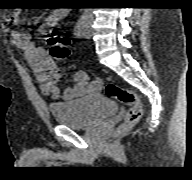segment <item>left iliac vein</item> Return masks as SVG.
<instances>
[{
	"label": "left iliac vein",
	"mask_w": 192,
	"mask_h": 180,
	"mask_svg": "<svg viewBox=\"0 0 192 180\" xmlns=\"http://www.w3.org/2000/svg\"><path fill=\"white\" fill-rule=\"evenodd\" d=\"M83 36L85 38H90L91 37V29L89 25H85Z\"/></svg>",
	"instance_id": "left-iliac-vein-1"
}]
</instances>
